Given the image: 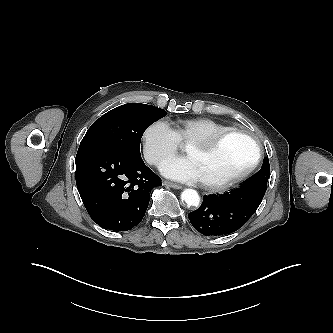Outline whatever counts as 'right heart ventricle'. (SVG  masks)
<instances>
[{
	"mask_svg": "<svg viewBox=\"0 0 333 333\" xmlns=\"http://www.w3.org/2000/svg\"><path fill=\"white\" fill-rule=\"evenodd\" d=\"M228 129L231 127L210 118L181 119L173 124V130L180 143L184 144L211 137Z\"/></svg>",
	"mask_w": 333,
	"mask_h": 333,
	"instance_id": "e07e8e85",
	"label": "right heart ventricle"
}]
</instances>
